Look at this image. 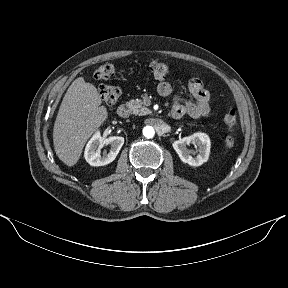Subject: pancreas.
Instances as JSON below:
<instances>
[{
    "label": "pancreas",
    "mask_w": 288,
    "mask_h": 288,
    "mask_svg": "<svg viewBox=\"0 0 288 288\" xmlns=\"http://www.w3.org/2000/svg\"><path fill=\"white\" fill-rule=\"evenodd\" d=\"M127 106L135 115L143 116L151 113V110L145 107L142 100L140 99L130 100L129 102H127Z\"/></svg>",
    "instance_id": "pancreas-1"
}]
</instances>
